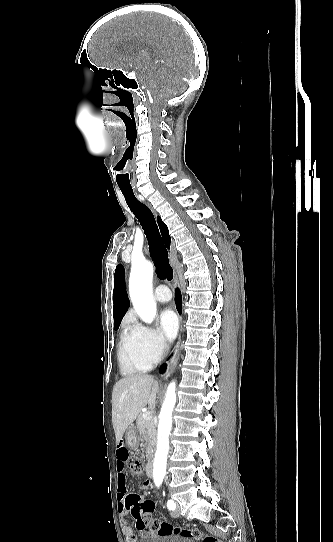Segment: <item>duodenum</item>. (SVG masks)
<instances>
[{"label":"duodenum","mask_w":333,"mask_h":542,"mask_svg":"<svg viewBox=\"0 0 333 542\" xmlns=\"http://www.w3.org/2000/svg\"><path fill=\"white\" fill-rule=\"evenodd\" d=\"M146 474L148 477L153 476V461L149 460L146 464Z\"/></svg>","instance_id":"1"}]
</instances>
